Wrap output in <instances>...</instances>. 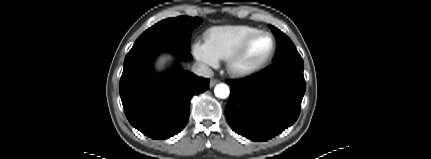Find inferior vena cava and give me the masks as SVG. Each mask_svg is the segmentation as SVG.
I'll list each match as a JSON object with an SVG mask.
<instances>
[{"mask_svg":"<svg viewBox=\"0 0 431 159\" xmlns=\"http://www.w3.org/2000/svg\"><path fill=\"white\" fill-rule=\"evenodd\" d=\"M192 72L198 76L205 78H211L214 75L212 69L201 63H194L192 66Z\"/></svg>","mask_w":431,"mask_h":159,"instance_id":"obj_1","label":"inferior vena cava"}]
</instances>
